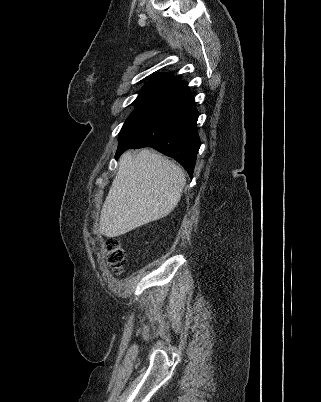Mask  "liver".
Segmentation results:
<instances>
[{"label":"liver","instance_id":"liver-1","mask_svg":"<svg viewBox=\"0 0 321 402\" xmlns=\"http://www.w3.org/2000/svg\"><path fill=\"white\" fill-rule=\"evenodd\" d=\"M186 179L182 169L149 149L124 153L102 206L99 231L114 238L167 216L177 206Z\"/></svg>","mask_w":321,"mask_h":402}]
</instances>
